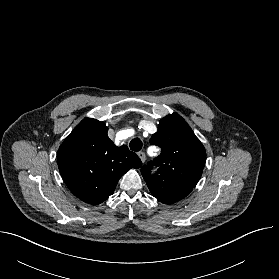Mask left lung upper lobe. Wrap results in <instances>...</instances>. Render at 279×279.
Returning a JSON list of instances; mask_svg holds the SVG:
<instances>
[{"label":"left lung upper lobe","mask_w":279,"mask_h":279,"mask_svg":"<svg viewBox=\"0 0 279 279\" xmlns=\"http://www.w3.org/2000/svg\"><path fill=\"white\" fill-rule=\"evenodd\" d=\"M150 143L161 154L141 169L152 195L165 204L186 197L198 183L206 162L205 148L186 121L178 114L161 119ZM157 173L152 175L153 166Z\"/></svg>","instance_id":"5c2ea615"}]
</instances>
